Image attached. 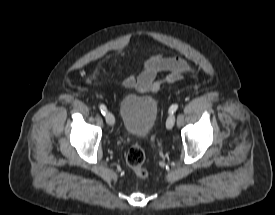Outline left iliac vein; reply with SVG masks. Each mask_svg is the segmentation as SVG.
<instances>
[{
    "mask_svg": "<svg viewBox=\"0 0 275 215\" xmlns=\"http://www.w3.org/2000/svg\"><path fill=\"white\" fill-rule=\"evenodd\" d=\"M174 123H175V116H174V114H170L166 121V128L168 130L172 129L174 126Z\"/></svg>",
    "mask_w": 275,
    "mask_h": 215,
    "instance_id": "4c4485c4",
    "label": "left iliac vein"
}]
</instances>
